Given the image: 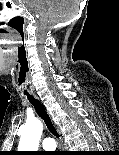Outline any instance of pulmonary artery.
Returning <instances> with one entry per match:
<instances>
[{
  "mask_svg": "<svg viewBox=\"0 0 119 155\" xmlns=\"http://www.w3.org/2000/svg\"><path fill=\"white\" fill-rule=\"evenodd\" d=\"M41 145L45 150H53L56 148V142L53 138H45L42 140Z\"/></svg>",
  "mask_w": 119,
  "mask_h": 155,
  "instance_id": "obj_1",
  "label": "pulmonary artery"
}]
</instances>
